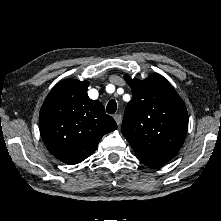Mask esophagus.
<instances>
[{
  "label": "esophagus",
  "instance_id": "esophagus-1",
  "mask_svg": "<svg viewBox=\"0 0 221 221\" xmlns=\"http://www.w3.org/2000/svg\"><path fill=\"white\" fill-rule=\"evenodd\" d=\"M114 119H115L117 125L119 126L122 122V116L120 114H116V115H114Z\"/></svg>",
  "mask_w": 221,
  "mask_h": 221
}]
</instances>
